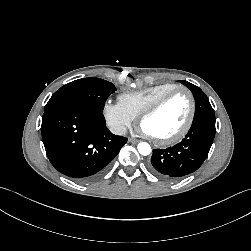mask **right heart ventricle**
Segmentation results:
<instances>
[{"label": "right heart ventricle", "instance_id": "e07e8e85", "mask_svg": "<svg viewBox=\"0 0 251 251\" xmlns=\"http://www.w3.org/2000/svg\"><path fill=\"white\" fill-rule=\"evenodd\" d=\"M178 86L171 83L157 84L143 90L123 93L118 100L120 105L133 117L139 115L153 104L158 98L168 91L177 88Z\"/></svg>", "mask_w": 251, "mask_h": 251}]
</instances>
